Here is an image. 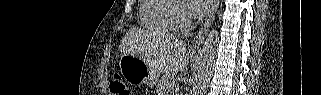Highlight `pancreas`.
Returning <instances> with one entry per match:
<instances>
[{
	"instance_id": "pancreas-1",
	"label": "pancreas",
	"mask_w": 321,
	"mask_h": 95,
	"mask_svg": "<svg viewBox=\"0 0 321 95\" xmlns=\"http://www.w3.org/2000/svg\"><path fill=\"white\" fill-rule=\"evenodd\" d=\"M177 88L174 73H166L157 84L158 95H168L169 92H174Z\"/></svg>"
}]
</instances>
